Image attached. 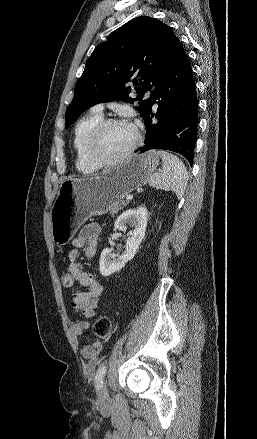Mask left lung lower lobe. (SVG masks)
Returning <instances> with one entry per match:
<instances>
[{
  "instance_id": "obj_1",
  "label": "left lung lower lobe",
  "mask_w": 257,
  "mask_h": 439,
  "mask_svg": "<svg viewBox=\"0 0 257 439\" xmlns=\"http://www.w3.org/2000/svg\"><path fill=\"white\" fill-rule=\"evenodd\" d=\"M152 106L144 118V146L135 152L164 149L183 155L192 165L198 130V99L188 57L180 41L151 93ZM155 117L158 121H152Z\"/></svg>"
}]
</instances>
